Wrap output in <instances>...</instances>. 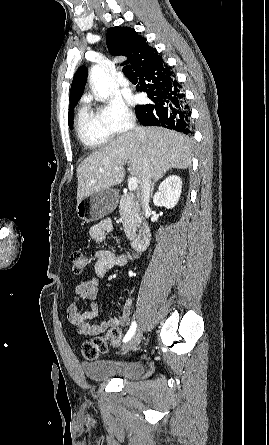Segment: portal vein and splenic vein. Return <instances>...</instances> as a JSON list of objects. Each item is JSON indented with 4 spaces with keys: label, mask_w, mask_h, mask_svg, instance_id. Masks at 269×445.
<instances>
[{
    "label": "portal vein and splenic vein",
    "mask_w": 269,
    "mask_h": 445,
    "mask_svg": "<svg viewBox=\"0 0 269 445\" xmlns=\"http://www.w3.org/2000/svg\"><path fill=\"white\" fill-rule=\"evenodd\" d=\"M138 187V179L136 177H132L128 181V188L131 192L135 191Z\"/></svg>",
    "instance_id": "obj_1"
}]
</instances>
